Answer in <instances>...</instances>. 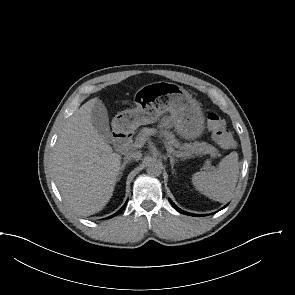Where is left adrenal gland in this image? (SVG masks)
Instances as JSON below:
<instances>
[{"mask_svg":"<svg viewBox=\"0 0 295 295\" xmlns=\"http://www.w3.org/2000/svg\"><path fill=\"white\" fill-rule=\"evenodd\" d=\"M169 158H170V165H171V169H172V173H174V164H175V161H177L171 154H168L167 155Z\"/></svg>","mask_w":295,"mask_h":295,"instance_id":"obj_1","label":"left adrenal gland"}]
</instances>
